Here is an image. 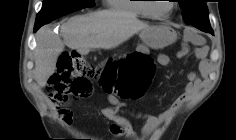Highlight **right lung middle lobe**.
Returning <instances> with one entry per match:
<instances>
[{"label": "right lung middle lobe", "mask_w": 236, "mask_h": 140, "mask_svg": "<svg viewBox=\"0 0 236 140\" xmlns=\"http://www.w3.org/2000/svg\"><path fill=\"white\" fill-rule=\"evenodd\" d=\"M94 5V0H44L35 27H41L63 15Z\"/></svg>", "instance_id": "dd1d6c3e"}]
</instances>
